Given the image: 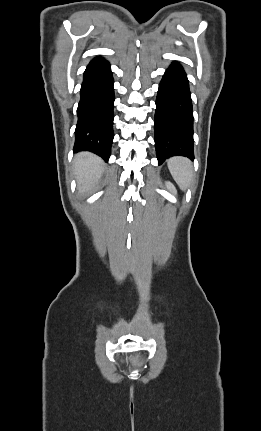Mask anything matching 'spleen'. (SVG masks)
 <instances>
[{"label": "spleen", "mask_w": 261, "mask_h": 431, "mask_svg": "<svg viewBox=\"0 0 261 431\" xmlns=\"http://www.w3.org/2000/svg\"><path fill=\"white\" fill-rule=\"evenodd\" d=\"M168 168L178 186L185 190L193 177L192 163L184 157H173L168 160Z\"/></svg>", "instance_id": "1"}]
</instances>
